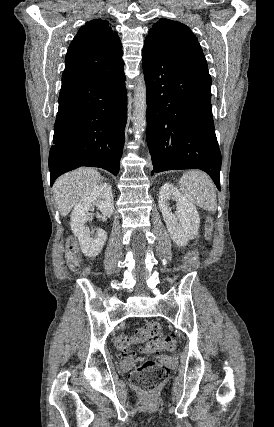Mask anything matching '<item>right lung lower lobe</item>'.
I'll return each mask as SVG.
<instances>
[{
  "instance_id": "98d812e1",
  "label": "right lung lower lobe",
  "mask_w": 274,
  "mask_h": 427,
  "mask_svg": "<svg viewBox=\"0 0 274 427\" xmlns=\"http://www.w3.org/2000/svg\"><path fill=\"white\" fill-rule=\"evenodd\" d=\"M126 116L124 63L60 91L49 154L51 186L61 174L80 166L101 167L117 175Z\"/></svg>"
}]
</instances>
